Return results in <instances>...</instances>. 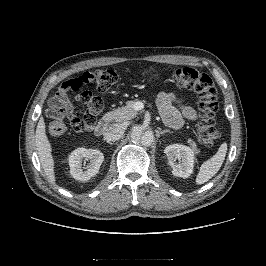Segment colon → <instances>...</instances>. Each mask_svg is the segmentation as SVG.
I'll use <instances>...</instances> for the list:
<instances>
[{
	"label": "colon",
	"instance_id": "1",
	"mask_svg": "<svg viewBox=\"0 0 266 266\" xmlns=\"http://www.w3.org/2000/svg\"><path fill=\"white\" fill-rule=\"evenodd\" d=\"M173 78L178 87L193 90L199 95L201 120L197 125V137L204 146H214L219 134L215 127L218 101L213 80L208 74L188 66L176 68ZM117 83L118 75L110 69L83 72L67 80L50 101L48 113L53 120L49 124V133L55 137L60 136L68 125L78 131L92 128L103 107L101 96L87 90L79 92L76 99L82 109L73 110L67 116L59 114V107L70 92L79 91L85 85L93 84L102 95H108Z\"/></svg>",
	"mask_w": 266,
	"mask_h": 266
}]
</instances>
